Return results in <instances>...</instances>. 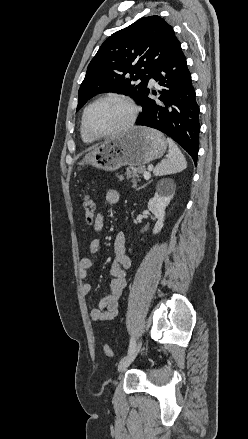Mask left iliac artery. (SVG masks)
<instances>
[{"label": "left iliac artery", "instance_id": "1", "mask_svg": "<svg viewBox=\"0 0 248 439\" xmlns=\"http://www.w3.org/2000/svg\"><path fill=\"white\" fill-rule=\"evenodd\" d=\"M135 346H136L135 340L131 338L128 353L132 352L135 349Z\"/></svg>", "mask_w": 248, "mask_h": 439}]
</instances>
